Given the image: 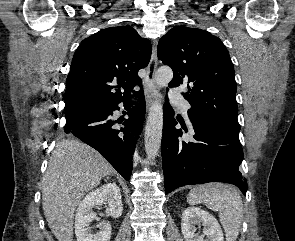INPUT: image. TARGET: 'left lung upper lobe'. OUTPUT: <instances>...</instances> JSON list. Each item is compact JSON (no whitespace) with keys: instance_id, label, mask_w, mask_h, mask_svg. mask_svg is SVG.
<instances>
[{"instance_id":"5c2ea615","label":"left lung upper lobe","mask_w":295,"mask_h":241,"mask_svg":"<svg viewBox=\"0 0 295 241\" xmlns=\"http://www.w3.org/2000/svg\"><path fill=\"white\" fill-rule=\"evenodd\" d=\"M157 52L173 70L169 86H188L190 120L239 134L234 66L222 41L205 30L177 26L160 39Z\"/></svg>"}]
</instances>
